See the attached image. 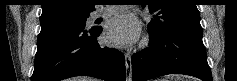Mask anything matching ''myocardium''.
<instances>
[{"mask_svg": "<svg viewBox=\"0 0 237 81\" xmlns=\"http://www.w3.org/2000/svg\"><path fill=\"white\" fill-rule=\"evenodd\" d=\"M147 45H148V38L146 37V38L142 41L141 46H142V47H145V46H147Z\"/></svg>", "mask_w": 237, "mask_h": 81, "instance_id": "1", "label": "myocardium"}]
</instances>
